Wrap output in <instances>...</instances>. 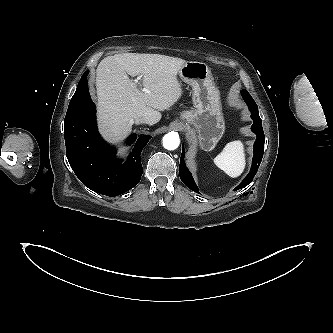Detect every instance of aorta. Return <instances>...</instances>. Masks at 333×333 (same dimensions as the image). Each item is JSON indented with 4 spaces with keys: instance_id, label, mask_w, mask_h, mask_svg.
Masks as SVG:
<instances>
[{
    "instance_id": "762f6f07",
    "label": "aorta",
    "mask_w": 333,
    "mask_h": 333,
    "mask_svg": "<svg viewBox=\"0 0 333 333\" xmlns=\"http://www.w3.org/2000/svg\"><path fill=\"white\" fill-rule=\"evenodd\" d=\"M180 144L179 135L176 132H169L163 137V147L167 150H175Z\"/></svg>"
}]
</instances>
